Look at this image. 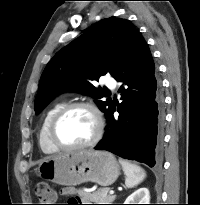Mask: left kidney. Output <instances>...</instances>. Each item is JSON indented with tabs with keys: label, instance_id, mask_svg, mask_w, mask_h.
Instances as JSON below:
<instances>
[{
	"label": "left kidney",
	"instance_id": "obj_1",
	"mask_svg": "<svg viewBox=\"0 0 200 205\" xmlns=\"http://www.w3.org/2000/svg\"><path fill=\"white\" fill-rule=\"evenodd\" d=\"M150 194L148 188L142 187L133 192L125 200L124 204H150Z\"/></svg>",
	"mask_w": 200,
	"mask_h": 205
}]
</instances>
